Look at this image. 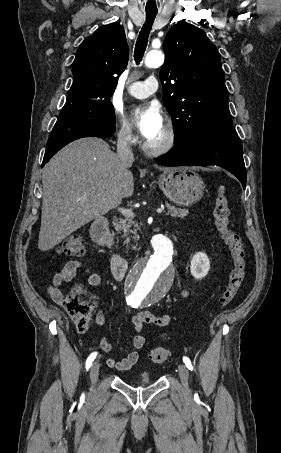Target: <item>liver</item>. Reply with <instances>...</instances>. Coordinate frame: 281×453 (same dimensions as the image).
I'll use <instances>...</instances> for the list:
<instances>
[{"instance_id": "6515ba94", "label": "liver", "mask_w": 281, "mask_h": 453, "mask_svg": "<svg viewBox=\"0 0 281 453\" xmlns=\"http://www.w3.org/2000/svg\"><path fill=\"white\" fill-rule=\"evenodd\" d=\"M129 166L97 136L79 138L61 148L42 172L38 249H53L83 224L132 196L134 178ZM160 170L168 168L160 166Z\"/></svg>"}]
</instances>
